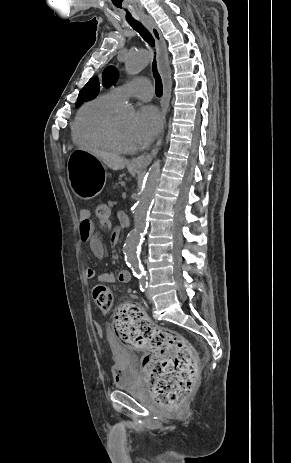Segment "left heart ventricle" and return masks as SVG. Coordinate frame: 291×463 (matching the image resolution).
Segmentation results:
<instances>
[{
    "label": "left heart ventricle",
    "instance_id": "b2bd125f",
    "mask_svg": "<svg viewBox=\"0 0 291 463\" xmlns=\"http://www.w3.org/2000/svg\"><path fill=\"white\" fill-rule=\"evenodd\" d=\"M116 125H117V132H118V138H119L120 143L124 145L125 147H135L136 144L130 132L131 126H132V120L117 117Z\"/></svg>",
    "mask_w": 291,
    "mask_h": 463
}]
</instances>
